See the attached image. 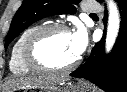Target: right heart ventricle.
I'll use <instances>...</instances> for the list:
<instances>
[{
  "instance_id": "e07e8e85",
  "label": "right heart ventricle",
  "mask_w": 127,
  "mask_h": 92,
  "mask_svg": "<svg viewBox=\"0 0 127 92\" xmlns=\"http://www.w3.org/2000/svg\"><path fill=\"white\" fill-rule=\"evenodd\" d=\"M39 27L40 25H33L26 28L14 43L9 60L10 71L16 75H28L33 73V70L25 63L23 58V48L27 38Z\"/></svg>"
}]
</instances>
